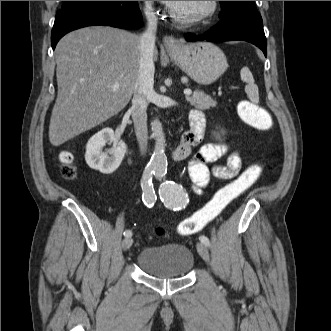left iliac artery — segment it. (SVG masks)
Masks as SVG:
<instances>
[{
  "mask_svg": "<svg viewBox=\"0 0 331 331\" xmlns=\"http://www.w3.org/2000/svg\"><path fill=\"white\" fill-rule=\"evenodd\" d=\"M165 174L166 171L162 169H157L154 173L157 178L163 181L159 189L160 199L166 207L174 211L182 210L189 201L188 196L181 185L165 180ZM199 239L206 246H210V241L206 236L202 235Z\"/></svg>",
  "mask_w": 331,
  "mask_h": 331,
  "instance_id": "1",
  "label": "left iliac artery"
}]
</instances>
